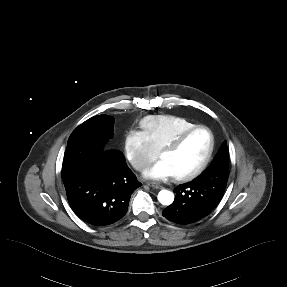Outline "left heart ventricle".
I'll return each instance as SVG.
<instances>
[{
	"label": "left heart ventricle",
	"instance_id": "left-heart-ventricle-1",
	"mask_svg": "<svg viewBox=\"0 0 287 287\" xmlns=\"http://www.w3.org/2000/svg\"><path fill=\"white\" fill-rule=\"evenodd\" d=\"M210 145V138L205 130L194 132L182 146L164 153L161 159L169 166L173 177L187 174L196 169L204 160Z\"/></svg>",
	"mask_w": 287,
	"mask_h": 287
}]
</instances>
